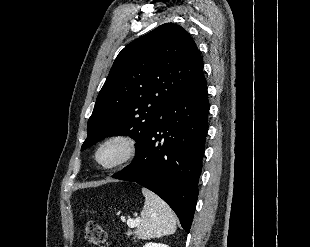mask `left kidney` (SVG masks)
Masks as SVG:
<instances>
[{"instance_id": "5707ae66", "label": "left kidney", "mask_w": 310, "mask_h": 247, "mask_svg": "<svg viewBox=\"0 0 310 247\" xmlns=\"http://www.w3.org/2000/svg\"><path fill=\"white\" fill-rule=\"evenodd\" d=\"M143 247H169V246L166 244L149 242L146 243Z\"/></svg>"}]
</instances>
